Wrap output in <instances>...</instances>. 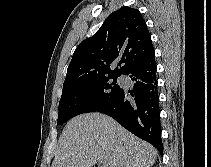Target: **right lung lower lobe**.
Segmentation results:
<instances>
[{"label":"right lung lower lobe","mask_w":211,"mask_h":167,"mask_svg":"<svg viewBox=\"0 0 211 167\" xmlns=\"http://www.w3.org/2000/svg\"><path fill=\"white\" fill-rule=\"evenodd\" d=\"M156 69L154 56L131 67L124 75L133 81L132 90L122 89L108 105L97 112L111 116L128 131L156 147L162 155Z\"/></svg>","instance_id":"right-lung-lower-lobe-1"}]
</instances>
